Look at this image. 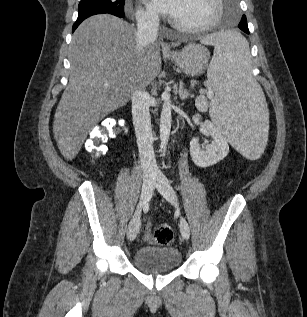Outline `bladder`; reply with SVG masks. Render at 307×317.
Returning a JSON list of instances; mask_svg holds the SVG:
<instances>
[{"label":"bladder","instance_id":"31cf9c89","mask_svg":"<svg viewBox=\"0 0 307 317\" xmlns=\"http://www.w3.org/2000/svg\"><path fill=\"white\" fill-rule=\"evenodd\" d=\"M133 261L138 269L147 274H162L180 265L181 254L172 247H142L135 252Z\"/></svg>","mask_w":307,"mask_h":317}]
</instances>
